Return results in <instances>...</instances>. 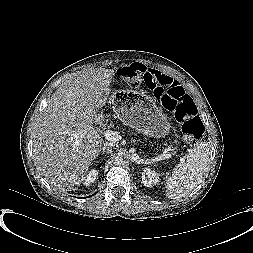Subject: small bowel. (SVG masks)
<instances>
[{
  "label": "small bowel",
  "mask_w": 253,
  "mask_h": 253,
  "mask_svg": "<svg viewBox=\"0 0 253 253\" xmlns=\"http://www.w3.org/2000/svg\"><path fill=\"white\" fill-rule=\"evenodd\" d=\"M141 84L153 90L160 87H170L173 85L181 86L180 83L171 76L150 68H146V73L141 80Z\"/></svg>",
  "instance_id": "c3829d8e"
}]
</instances>
